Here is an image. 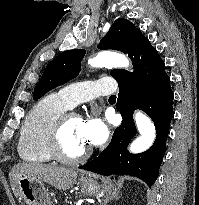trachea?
I'll return each instance as SVG.
<instances>
[{
    "label": "trachea",
    "mask_w": 199,
    "mask_h": 205,
    "mask_svg": "<svg viewBox=\"0 0 199 205\" xmlns=\"http://www.w3.org/2000/svg\"><path fill=\"white\" fill-rule=\"evenodd\" d=\"M109 98H110V99H114V98L116 99V96H115V95H112V96H110Z\"/></svg>",
    "instance_id": "1"
}]
</instances>
